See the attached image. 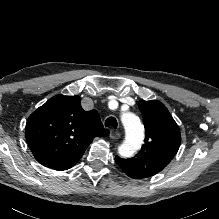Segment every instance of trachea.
Listing matches in <instances>:
<instances>
[{
    "instance_id": "trachea-1",
    "label": "trachea",
    "mask_w": 219,
    "mask_h": 219,
    "mask_svg": "<svg viewBox=\"0 0 219 219\" xmlns=\"http://www.w3.org/2000/svg\"><path fill=\"white\" fill-rule=\"evenodd\" d=\"M105 126L106 127H113L116 129L117 128V120L114 117H109L105 121Z\"/></svg>"
}]
</instances>
